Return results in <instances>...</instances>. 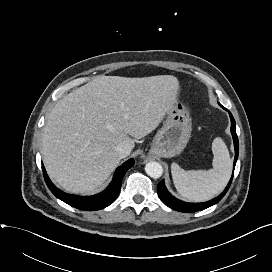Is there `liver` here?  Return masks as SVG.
I'll use <instances>...</instances> for the list:
<instances>
[{
	"label": "liver",
	"instance_id": "liver-1",
	"mask_svg": "<svg viewBox=\"0 0 272 272\" xmlns=\"http://www.w3.org/2000/svg\"><path fill=\"white\" fill-rule=\"evenodd\" d=\"M179 81L97 76L59 100L48 115L42 155L50 178L65 191L90 194L122 159L115 147L151 133L173 108Z\"/></svg>",
	"mask_w": 272,
	"mask_h": 272
}]
</instances>
